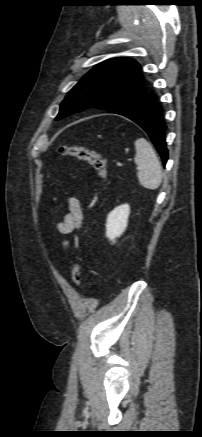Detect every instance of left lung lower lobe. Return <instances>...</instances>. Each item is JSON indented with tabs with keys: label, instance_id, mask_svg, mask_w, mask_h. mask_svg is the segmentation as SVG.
Returning <instances> with one entry per match:
<instances>
[{
	"label": "left lung lower lobe",
	"instance_id": "0a47b994",
	"mask_svg": "<svg viewBox=\"0 0 202 437\" xmlns=\"http://www.w3.org/2000/svg\"><path fill=\"white\" fill-rule=\"evenodd\" d=\"M127 117L137 123L149 135L159 152L165 166L168 159L164 131L166 125L162 119V109L153 93L145 92L108 111Z\"/></svg>",
	"mask_w": 202,
	"mask_h": 437
}]
</instances>
